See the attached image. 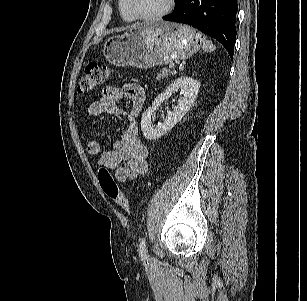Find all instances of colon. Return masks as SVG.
<instances>
[{"instance_id": "5ec220e1", "label": "colon", "mask_w": 307, "mask_h": 301, "mask_svg": "<svg viewBox=\"0 0 307 301\" xmlns=\"http://www.w3.org/2000/svg\"><path fill=\"white\" fill-rule=\"evenodd\" d=\"M109 73L107 66L99 65L94 62L87 64L78 84V92L80 94H89L93 92L109 76ZM98 177L101 188L105 194L116 200L126 214L131 217L132 208L130 202L127 196L121 191L110 171L106 167H101Z\"/></svg>"}]
</instances>
